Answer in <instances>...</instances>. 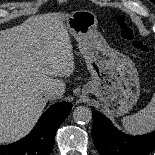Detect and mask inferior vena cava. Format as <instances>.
Listing matches in <instances>:
<instances>
[{"mask_svg": "<svg viewBox=\"0 0 155 155\" xmlns=\"http://www.w3.org/2000/svg\"><path fill=\"white\" fill-rule=\"evenodd\" d=\"M43 95L48 100H52L61 97L63 95V91L59 88L51 86L44 90Z\"/></svg>", "mask_w": 155, "mask_h": 155, "instance_id": "inferior-vena-cava-1", "label": "inferior vena cava"}]
</instances>
